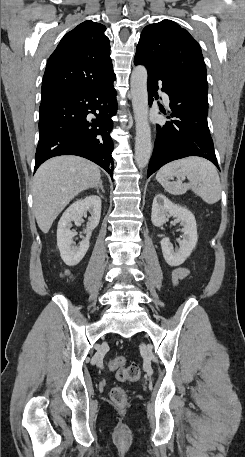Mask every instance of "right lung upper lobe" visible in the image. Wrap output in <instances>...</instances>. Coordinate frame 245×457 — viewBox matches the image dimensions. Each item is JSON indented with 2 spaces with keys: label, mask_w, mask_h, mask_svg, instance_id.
I'll return each instance as SVG.
<instances>
[{
  "label": "right lung upper lobe",
  "mask_w": 245,
  "mask_h": 457,
  "mask_svg": "<svg viewBox=\"0 0 245 457\" xmlns=\"http://www.w3.org/2000/svg\"><path fill=\"white\" fill-rule=\"evenodd\" d=\"M105 30L104 25L87 20L62 38L47 62L42 101L115 76Z\"/></svg>",
  "instance_id": "cb5924a9"
}]
</instances>
